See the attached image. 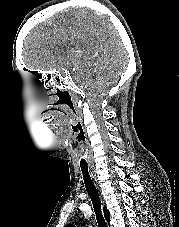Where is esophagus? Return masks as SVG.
Instances as JSON below:
<instances>
[{
    "label": "esophagus",
    "instance_id": "obj_1",
    "mask_svg": "<svg viewBox=\"0 0 179 227\" xmlns=\"http://www.w3.org/2000/svg\"><path fill=\"white\" fill-rule=\"evenodd\" d=\"M91 174H92L93 178L96 180V174L94 173L93 170L91 171Z\"/></svg>",
    "mask_w": 179,
    "mask_h": 227
}]
</instances>
